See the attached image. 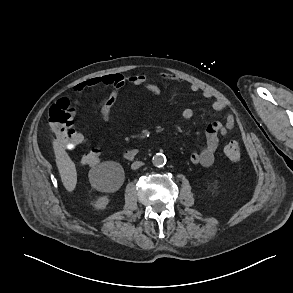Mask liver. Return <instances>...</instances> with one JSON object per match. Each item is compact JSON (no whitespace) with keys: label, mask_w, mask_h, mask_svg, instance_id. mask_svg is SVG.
<instances>
[{"label":"liver","mask_w":293,"mask_h":293,"mask_svg":"<svg viewBox=\"0 0 293 293\" xmlns=\"http://www.w3.org/2000/svg\"><path fill=\"white\" fill-rule=\"evenodd\" d=\"M53 148L56 157V165L62 183L67 191H73L77 184V171L75 164L58 142H54Z\"/></svg>","instance_id":"1"}]
</instances>
